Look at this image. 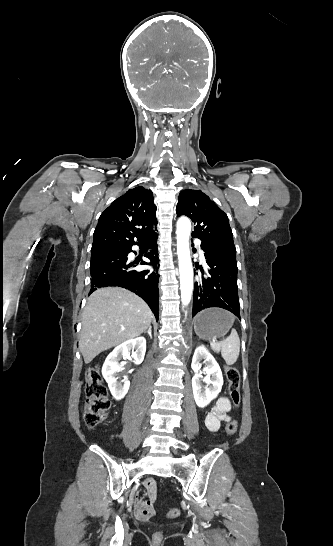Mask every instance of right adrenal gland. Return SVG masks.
<instances>
[{"label":"right adrenal gland","instance_id":"right-adrenal-gland-1","mask_svg":"<svg viewBox=\"0 0 333 546\" xmlns=\"http://www.w3.org/2000/svg\"><path fill=\"white\" fill-rule=\"evenodd\" d=\"M151 329H152V326L150 325L148 330L144 332V334L147 333L149 335L150 339H152Z\"/></svg>","mask_w":333,"mask_h":546}]
</instances>
